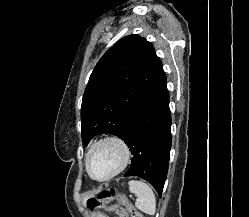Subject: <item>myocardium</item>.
Here are the masks:
<instances>
[{
  "mask_svg": "<svg viewBox=\"0 0 249 217\" xmlns=\"http://www.w3.org/2000/svg\"><path fill=\"white\" fill-rule=\"evenodd\" d=\"M105 144L115 145L120 150L121 152L120 163L112 172H110L106 176L96 177L92 174L90 170V158L98 147L105 145ZM130 159H131V150L127 142L118 135L109 134L104 137H101L100 139H98L91 145L85 157V169L91 179L95 181H99V182L108 181L114 178L115 176L119 175L121 172H123L125 168L127 167V165L129 164Z\"/></svg>",
  "mask_w": 249,
  "mask_h": 217,
  "instance_id": "myocardium-1",
  "label": "myocardium"
}]
</instances>
